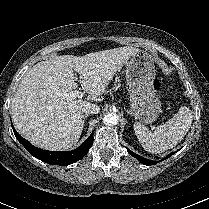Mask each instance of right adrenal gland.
<instances>
[{
    "mask_svg": "<svg viewBox=\"0 0 209 209\" xmlns=\"http://www.w3.org/2000/svg\"><path fill=\"white\" fill-rule=\"evenodd\" d=\"M87 116H88V115H84V121H85V119H86Z\"/></svg>",
    "mask_w": 209,
    "mask_h": 209,
    "instance_id": "right-adrenal-gland-1",
    "label": "right adrenal gland"
}]
</instances>
